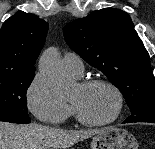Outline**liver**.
Wrapping results in <instances>:
<instances>
[{
	"instance_id": "6515ba94",
	"label": "liver",
	"mask_w": 155,
	"mask_h": 149,
	"mask_svg": "<svg viewBox=\"0 0 155 149\" xmlns=\"http://www.w3.org/2000/svg\"><path fill=\"white\" fill-rule=\"evenodd\" d=\"M107 128L67 131L36 123L0 122V149H67Z\"/></svg>"
}]
</instances>
